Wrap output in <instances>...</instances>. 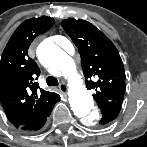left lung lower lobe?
Wrapping results in <instances>:
<instances>
[{
	"mask_svg": "<svg viewBox=\"0 0 147 147\" xmlns=\"http://www.w3.org/2000/svg\"><path fill=\"white\" fill-rule=\"evenodd\" d=\"M120 109L121 107H112V108L101 110L102 118L99 123L102 125H105L111 122L118 116Z\"/></svg>",
	"mask_w": 147,
	"mask_h": 147,
	"instance_id": "left-lung-lower-lobe-1",
	"label": "left lung lower lobe"
}]
</instances>
